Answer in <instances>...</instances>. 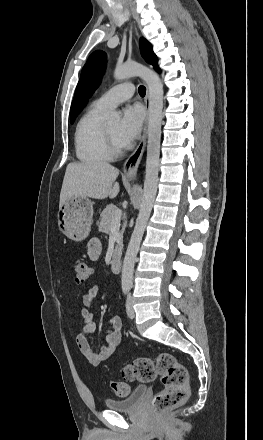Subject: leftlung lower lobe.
<instances>
[{"label": "left lung lower lobe", "instance_id": "obj_1", "mask_svg": "<svg viewBox=\"0 0 263 440\" xmlns=\"http://www.w3.org/2000/svg\"><path fill=\"white\" fill-rule=\"evenodd\" d=\"M156 70H157L158 72H160V70H159V68H158V67L156 68Z\"/></svg>", "mask_w": 263, "mask_h": 440}]
</instances>
